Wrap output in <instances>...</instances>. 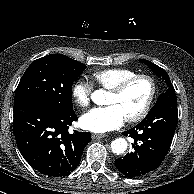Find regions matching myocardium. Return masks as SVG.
Instances as JSON below:
<instances>
[{"mask_svg": "<svg viewBox=\"0 0 194 194\" xmlns=\"http://www.w3.org/2000/svg\"><path fill=\"white\" fill-rule=\"evenodd\" d=\"M141 79L146 80L150 85L149 97H148L144 107L142 108V110L138 114L125 119V121L128 123L139 122V121L143 120L150 112V109L153 105V102L155 100L156 93H157V84H156L155 79L152 76L147 75V74H136L132 77H129V78L123 80L122 82H120L115 87H113L112 89L109 90V92L113 95H120L127 89V87L130 84H132L133 82H135L137 80H141Z\"/></svg>", "mask_w": 194, "mask_h": 194, "instance_id": "1", "label": "myocardium"}]
</instances>
